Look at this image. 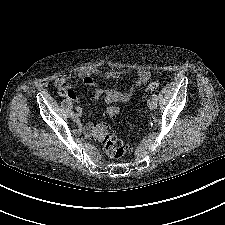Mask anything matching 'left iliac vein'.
<instances>
[{
    "label": "left iliac vein",
    "mask_w": 225,
    "mask_h": 225,
    "mask_svg": "<svg viewBox=\"0 0 225 225\" xmlns=\"http://www.w3.org/2000/svg\"><path fill=\"white\" fill-rule=\"evenodd\" d=\"M149 108L151 110H155L157 108V102L152 100L150 103H149Z\"/></svg>",
    "instance_id": "left-iliac-vein-1"
}]
</instances>
